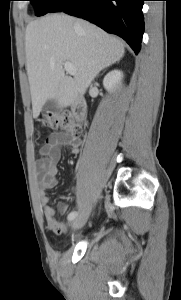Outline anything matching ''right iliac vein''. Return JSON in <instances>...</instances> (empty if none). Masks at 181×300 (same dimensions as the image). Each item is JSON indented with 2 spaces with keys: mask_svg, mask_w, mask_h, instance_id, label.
Masks as SVG:
<instances>
[{
  "mask_svg": "<svg viewBox=\"0 0 181 300\" xmlns=\"http://www.w3.org/2000/svg\"><path fill=\"white\" fill-rule=\"evenodd\" d=\"M87 218H88V212L78 215L72 222V228L77 229L78 227H80L86 222Z\"/></svg>",
  "mask_w": 181,
  "mask_h": 300,
  "instance_id": "1",
  "label": "right iliac vein"
}]
</instances>
